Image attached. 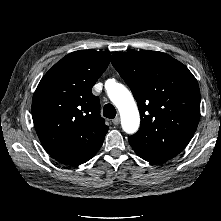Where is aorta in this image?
I'll use <instances>...</instances> for the list:
<instances>
[{
	"label": "aorta",
	"instance_id": "obj_1",
	"mask_svg": "<svg viewBox=\"0 0 221 221\" xmlns=\"http://www.w3.org/2000/svg\"><path fill=\"white\" fill-rule=\"evenodd\" d=\"M105 85L110 100L119 110L123 130L128 134L135 133L140 125V115L132 94L120 83L107 81Z\"/></svg>",
	"mask_w": 221,
	"mask_h": 221
}]
</instances>
